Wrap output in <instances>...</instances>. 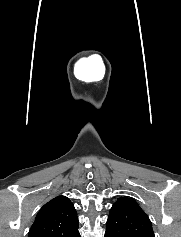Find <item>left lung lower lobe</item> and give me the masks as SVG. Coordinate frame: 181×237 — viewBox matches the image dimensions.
Returning a JSON list of instances; mask_svg holds the SVG:
<instances>
[{
    "label": "left lung lower lobe",
    "instance_id": "1",
    "mask_svg": "<svg viewBox=\"0 0 181 237\" xmlns=\"http://www.w3.org/2000/svg\"><path fill=\"white\" fill-rule=\"evenodd\" d=\"M105 237H111V236H110V235H106V234H105Z\"/></svg>",
    "mask_w": 181,
    "mask_h": 237
}]
</instances>
